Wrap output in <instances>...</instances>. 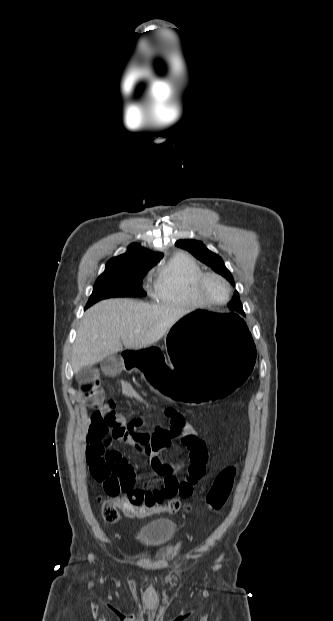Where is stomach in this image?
Segmentation results:
<instances>
[{
	"instance_id": "obj_1",
	"label": "stomach",
	"mask_w": 333,
	"mask_h": 621,
	"mask_svg": "<svg viewBox=\"0 0 333 621\" xmlns=\"http://www.w3.org/2000/svg\"><path fill=\"white\" fill-rule=\"evenodd\" d=\"M122 357L148 379L146 388L181 407L186 401L230 402L244 389L256 362L255 341L241 317L196 310L181 314L165 335ZM186 402V403H185Z\"/></svg>"
}]
</instances>
